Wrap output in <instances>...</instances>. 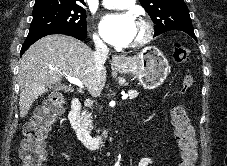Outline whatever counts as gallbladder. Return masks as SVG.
I'll return each instance as SVG.
<instances>
[{
	"label": "gallbladder",
	"mask_w": 227,
	"mask_h": 166,
	"mask_svg": "<svg viewBox=\"0 0 227 166\" xmlns=\"http://www.w3.org/2000/svg\"><path fill=\"white\" fill-rule=\"evenodd\" d=\"M51 87H55L54 85H52ZM66 90V88H64Z\"/></svg>",
	"instance_id": "gallbladder-1"
}]
</instances>
